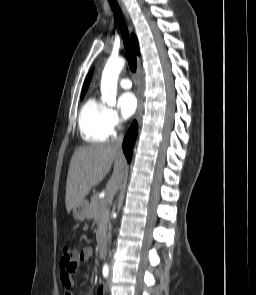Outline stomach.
Masks as SVG:
<instances>
[{"label": "stomach", "instance_id": "0dacf381", "mask_svg": "<svg viewBox=\"0 0 256 295\" xmlns=\"http://www.w3.org/2000/svg\"><path fill=\"white\" fill-rule=\"evenodd\" d=\"M88 214V203L86 201L73 208V218L77 221H84Z\"/></svg>", "mask_w": 256, "mask_h": 295}]
</instances>
